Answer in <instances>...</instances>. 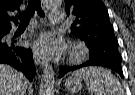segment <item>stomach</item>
Listing matches in <instances>:
<instances>
[{
	"label": "stomach",
	"instance_id": "obj_1",
	"mask_svg": "<svg viewBox=\"0 0 135 95\" xmlns=\"http://www.w3.org/2000/svg\"><path fill=\"white\" fill-rule=\"evenodd\" d=\"M65 88L70 92V93H76L79 92L82 88V82L81 78L75 75H72L71 77H68L65 80Z\"/></svg>",
	"mask_w": 135,
	"mask_h": 95
}]
</instances>
